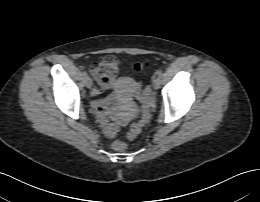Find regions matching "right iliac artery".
<instances>
[{"mask_svg": "<svg viewBox=\"0 0 260 202\" xmlns=\"http://www.w3.org/2000/svg\"><path fill=\"white\" fill-rule=\"evenodd\" d=\"M83 76H84V77L87 76V72H86V71L83 72Z\"/></svg>", "mask_w": 260, "mask_h": 202, "instance_id": "obj_1", "label": "right iliac artery"}]
</instances>
